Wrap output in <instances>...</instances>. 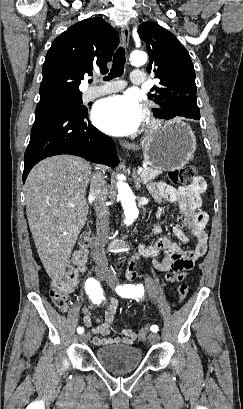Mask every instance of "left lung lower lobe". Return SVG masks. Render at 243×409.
<instances>
[{
	"mask_svg": "<svg viewBox=\"0 0 243 409\" xmlns=\"http://www.w3.org/2000/svg\"><path fill=\"white\" fill-rule=\"evenodd\" d=\"M180 114H182L181 112H175V113H170L168 116H169V118H173V117H176V116H181ZM175 115V116H174ZM183 117H187V118H192V119H200V113L198 114H194V115H184ZM168 118V119H169Z\"/></svg>",
	"mask_w": 243,
	"mask_h": 409,
	"instance_id": "left-lung-lower-lobe-1",
	"label": "left lung lower lobe"
}]
</instances>
